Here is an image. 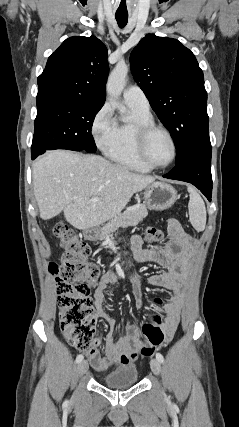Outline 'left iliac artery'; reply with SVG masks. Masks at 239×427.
Listing matches in <instances>:
<instances>
[{
    "mask_svg": "<svg viewBox=\"0 0 239 427\" xmlns=\"http://www.w3.org/2000/svg\"><path fill=\"white\" fill-rule=\"evenodd\" d=\"M156 358L159 360V362L163 363L164 362V357L161 353H157L156 354Z\"/></svg>",
    "mask_w": 239,
    "mask_h": 427,
    "instance_id": "obj_1",
    "label": "left iliac artery"
}]
</instances>
